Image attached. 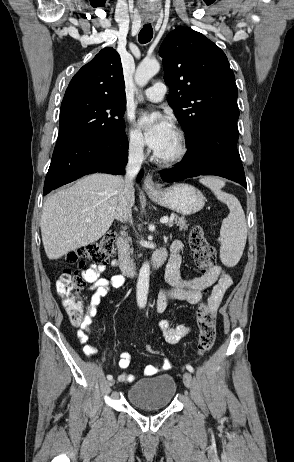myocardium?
Instances as JSON below:
<instances>
[{
	"instance_id": "1",
	"label": "myocardium",
	"mask_w": 294,
	"mask_h": 462,
	"mask_svg": "<svg viewBox=\"0 0 294 462\" xmlns=\"http://www.w3.org/2000/svg\"><path fill=\"white\" fill-rule=\"evenodd\" d=\"M176 136L178 139V151L170 157L157 156L159 163L171 166L180 163L187 156L189 152V145L185 133L182 130H176Z\"/></svg>"
}]
</instances>
